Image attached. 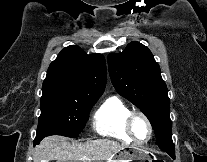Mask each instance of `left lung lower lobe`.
I'll use <instances>...</instances> for the list:
<instances>
[{"mask_svg": "<svg viewBox=\"0 0 207 162\" xmlns=\"http://www.w3.org/2000/svg\"><path fill=\"white\" fill-rule=\"evenodd\" d=\"M163 151L167 152L173 159H175V149H174V147L164 149Z\"/></svg>", "mask_w": 207, "mask_h": 162, "instance_id": "1", "label": "left lung lower lobe"}]
</instances>
